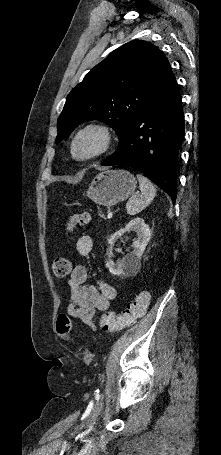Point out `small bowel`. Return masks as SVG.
<instances>
[{"instance_id": "obj_1", "label": "small bowel", "mask_w": 221, "mask_h": 455, "mask_svg": "<svg viewBox=\"0 0 221 455\" xmlns=\"http://www.w3.org/2000/svg\"><path fill=\"white\" fill-rule=\"evenodd\" d=\"M93 240L89 235H82L76 242L77 253L87 258L92 251ZM89 269L83 264H77L68 279L70 290L69 303L66 307L67 314L89 326H94L97 312L109 310L110 302L115 298V288L102 280L97 285L87 283Z\"/></svg>"}]
</instances>
